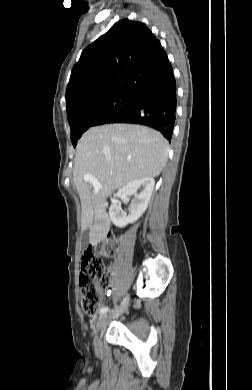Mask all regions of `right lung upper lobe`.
Returning <instances> with one entry per match:
<instances>
[{"mask_svg":"<svg viewBox=\"0 0 252 390\" xmlns=\"http://www.w3.org/2000/svg\"><path fill=\"white\" fill-rule=\"evenodd\" d=\"M173 73L167 54L141 22L121 20L83 50L66 90L67 113L112 95H135L145 84Z\"/></svg>","mask_w":252,"mask_h":390,"instance_id":"right-lung-upper-lobe-1","label":"right lung upper lobe"}]
</instances>
